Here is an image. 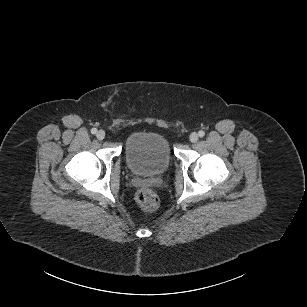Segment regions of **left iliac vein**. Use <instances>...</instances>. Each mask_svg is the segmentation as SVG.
Instances as JSON below:
<instances>
[{
    "label": "left iliac vein",
    "instance_id": "1",
    "mask_svg": "<svg viewBox=\"0 0 307 307\" xmlns=\"http://www.w3.org/2000/svg\"><path fill=\"white\" fill-rule=\"evenodd\" d=\"M198 138H199V136H198V134L196 132L191 133L190 136H189V140L192 143L197 142Z\"/></svg>",
    "mask_w": 307,
    "mask_h": 307
}]
</instances>
